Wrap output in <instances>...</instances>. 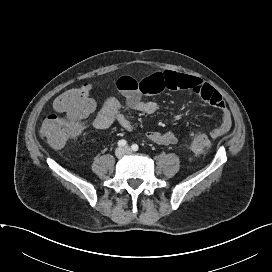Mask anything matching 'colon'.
Wrapping results in <instances>:
<instances>
[{
    "label": "colon",
    "mask_w": 272,
    "mask_h": 272,
    "mask_svg": "<svg viewBox=\"0 0 272 272\" xmlns=\"http://www.w3.org/2000/svg\"><path fill=\"white\" fill-rule=\"evenodd\" d=\"M94 101L90 95V87L84 83L67 89L54 101L56 113L50 114L41 127L42 135L53 147H61L72 137L79 134L83 119L92 112ZM210 145L206 135H198L192 142V150L196 153L204 151Z\"/></svg>",
    "instance_id": "colon-1"
}]
</instances>
